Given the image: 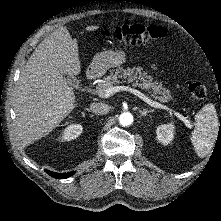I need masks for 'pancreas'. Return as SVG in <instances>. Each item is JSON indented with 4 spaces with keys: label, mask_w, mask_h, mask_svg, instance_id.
I'll list each match as a JSON object with an SVG mask.
<instances>
[{
    "label": "pancreas",
    "mask_w": 221,
    "mask_h": 221,
    "mask_svg": "<svg viewBox=\"0 0 221 221\" xmlns=\"http://www.w3.org/2000/svg\"><path fill=\"white\" fill-rule=\"evenodd\" d=\"M119 78L127 79L129 83H133L134 87H139L147 91L151 96L160 102L166 103L172 99L170 90L162 86V84L154 81L152 76L147 75V72H142V68H118L115 72H111L109 76L104 78V82L98 84L96 93L105 92L114 84H119Z\"/></svg>",
    "instance_id": "cf45deb5"
}]
</instances>
